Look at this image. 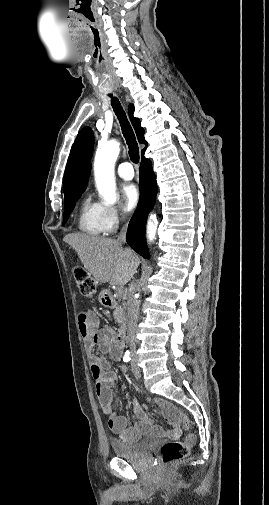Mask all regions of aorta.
<instances>
[{
    "instance_id": "aorta-1",
    "label": "aorta",
    "mask_w": 269,
    "mask_h": 505,
    "mask_svg": "<svg viewBox=\"0 0 269 505\" xmlns=\"http://www.w3.org/2000/svg\"><path fill=\"white\" fill-rule=\"evenodd\" d=\"M120 152V144L109 140L98 146L94 160L95 183L99 196L108 204L117 200L114 166ZM158 220L156 214H151L147 222V239L152 242L156 238Z\"/></svg>"
}]
</instances>
